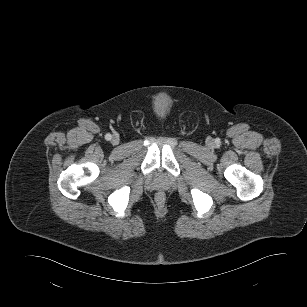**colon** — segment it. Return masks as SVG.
<instances>
[{
  "instance_id": "colon-1",
  "label": "colon",
  "mask_w": 307,
  "mask_h": 307,
  "mask_svg": "<svg viewBox=\"0 0 307 307\" xmlns=\"http://www.w3.org/2000/svg\"><path fill=\"white\" fill-rule=\"evenodd\" d=\"M159 198L162 199V198H163V195L160 194V195H159Z\"/></svg>"
}]
</instances>
